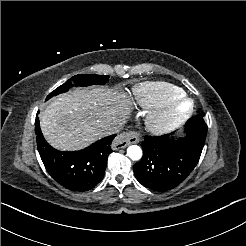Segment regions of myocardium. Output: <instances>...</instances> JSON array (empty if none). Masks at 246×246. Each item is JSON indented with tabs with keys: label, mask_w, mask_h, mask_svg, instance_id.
I'll return each instance as SVG.
<instances>
[{
	"label": "myocardium",
	"mask_w": 246,
	"mask_h": 246,
	"mask_svg": "<svg viewBox=\"0 0 246 246\" xmlns=\"http://www.w3.org/2000/svg\"><path fill=\"white\" fill-rule=\"evenodd\" d=\"M185 101L187 100L180 98L154 111L151 115L153 132L156 134L165 133L185 122L193 112L192 103L186 110H180L181 104Z\"/></svg>",
	"instance_id": "obj_1"
}]
</instances>
